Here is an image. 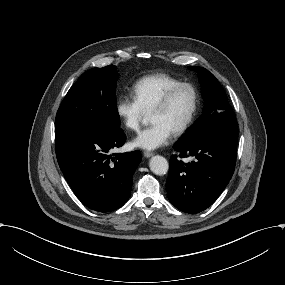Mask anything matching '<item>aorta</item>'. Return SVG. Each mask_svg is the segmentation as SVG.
Returning a JSON list of instances; mask_svg holds the SVG:
<instances>
[{"label": "aorta", "mask_w": 285, "mask_h": 285, "mask_svg": "<svg viewBox=\"0 0 285 285\" xmlns=\"http://www.w3.org/2000/svg\"><path fill=\"white\" fill-rule=\"evenodd\" d=\"M150 169L156 175H164L168 172L169 164L168 161L159 155L153 156L149 163Z\"/></svg>", "instance_id": "aorta-1"}]
</instances>
